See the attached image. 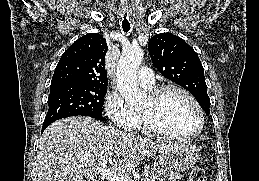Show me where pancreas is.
<instances>
[{"instance_id": "pancreas-1", "label": "pancreas", "mask_w": 259, "mask_h": 181, "mask_svg": "<svg viewBox=\"0 0 259 181\" xmlns=\"http://www.w3.org/2000/svg\"><path fill=\"white\" fill-rule=\"evenodd\" d=\"M143 173L145 178L151 177L158 181H176L183 178V176L178 172L150 166H144Z\"/></svg>"}]
</instances>
